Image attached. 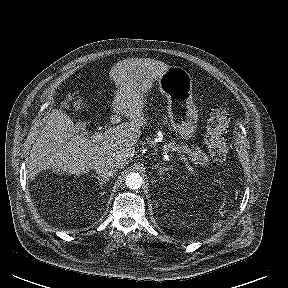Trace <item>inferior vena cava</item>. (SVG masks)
I'll return each mask as SVG.
<instances>
[{
    "label": "inferior vena cava",
    "mask_w": 288,
    "mask_h": 288,
    "mask_svg": "<svg viewBox=\"0 0 288 288\" xmlns=\"http://www.w3.org/2000/svg\"><path fill=\"white\" fill-rule=\"evenodd\" d=\"M118 165L111 159H102L95 163L94 169L103 179H109L113 177L117 172Z\"/></svg>",
    "instance_id": "1"
}]
</instances>
